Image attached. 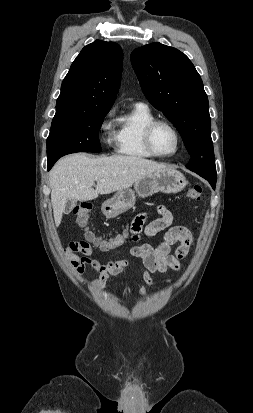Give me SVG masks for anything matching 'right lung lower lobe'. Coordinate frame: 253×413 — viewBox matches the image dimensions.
<instances>
[{
	"label": "right lung lower lobe",
	"instance_id": "1",
	"mask_svg": "<svg viewBox=\"0 0 253 413\" xmlns=\"http://www.w3.org/2000/svg\"><path fill=\"white\" fill-rule=\"evenodd\" d=\"M55 162H56V161H49L48 164H47V169L50 170L51 167L54 165Z\"/></svg>",
	"mask_w": 253,
	"mask_h": 413
}]
</instances>
